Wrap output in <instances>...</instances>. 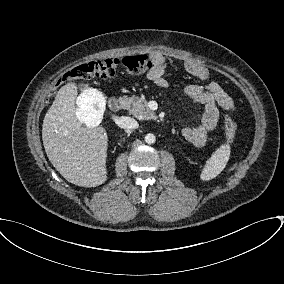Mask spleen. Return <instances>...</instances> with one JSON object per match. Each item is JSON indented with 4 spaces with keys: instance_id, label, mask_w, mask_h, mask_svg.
<instances>
[{
    "instance_id": "obj_1",
    "label": "spleen",
    "mask_w": 284,
    "mask_h": 284,
    "mask_svg": "<svg viewBox=\"0 0 284 284\" xmlns=\"http://www.w3.org/2000/svg\"><path fill=\"white\" fill-rule=\"evenodd\" d=\"M230 157V146L228 144L221 145L212 156L207 160L200 178L203 181H208L215 178L226 167Z\"/></svg>"
}]
</instances>
